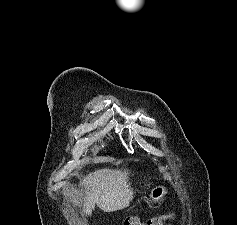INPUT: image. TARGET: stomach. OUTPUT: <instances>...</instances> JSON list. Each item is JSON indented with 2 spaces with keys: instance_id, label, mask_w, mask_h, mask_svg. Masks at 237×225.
Instances as JSON below:
<instances>
[{
  "instance_id": "obj_1",
  "label": "stomach",
  "mask_w": 237,
  "mask_h": 225,
  "mask_svg": "<svg viewBox=\"0 0 237 225\" xmlns=\"http://www.w3.org/2000/svg\"><path fill=\"white\" fill-rule=\"evenodd\" d=\"M168 194V189L164 185L155 186L149 194V200L152 203H159L161 202L164 197Z\"/></svg>"
}]
</instances>
